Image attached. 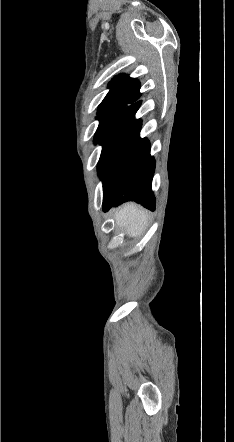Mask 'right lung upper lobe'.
<instances>
[{
  "mask_svg": "<svg viewBox=\"0 0 234 442\" xmlns=\"http://www.w3.org/2000/svg\"><path fill=\"white\" fill-rule=\"evenodd\" d=\"M110 91L98 107V116L118 115L140 96V83L128 75H118L109 83Z\"/></svg>",
  "mask_w": 234,
  "mask_h": 442,
  "instance_id": "obj_1",
  "label": "right lung upper lobe"
}]
</instances>
